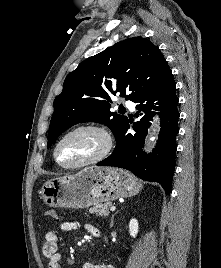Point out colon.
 <instances>
[{"instance_id":"colon-1","label":"colon","mask_w":221,"mask_h":268,"mask_svg":"<svg viewBox=\"0 0 221 268\" xmlns=\"http://www.w3.org/2000/svg\"><path fill=\"white\" fill-rule=\"evenodd\" d=\"M45 217L48 220L56 221L58 219V214L54 209H48L45 211Z\"/></svg>"}]
</instances>
